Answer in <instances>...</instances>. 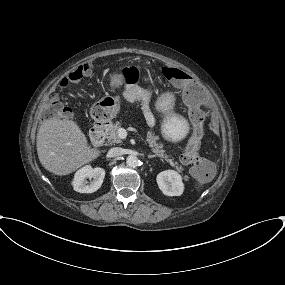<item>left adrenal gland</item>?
I'll return each instance as SVG.
<instances>
[{
  "label": "left adrenal gland",
  "mask_w": 285,
  "mask_h": 285,
  "mask_svg": "<svg viewBox=\"0 0 285 285\" xmlns=\"http://www.w3.org/2000/svg\"><path fill=\"white\" fill-rule=\"evenodd\" d=\"M155 157V155H148V158L149 159H152V158H154Z\"/></svg>",
  "instance_id": "obj_1"
}]
</instances>
